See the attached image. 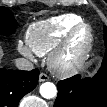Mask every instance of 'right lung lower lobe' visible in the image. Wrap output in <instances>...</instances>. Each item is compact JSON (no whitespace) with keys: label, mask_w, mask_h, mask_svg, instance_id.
I'll list each match as a JSON object with an SVG mask.
<instances>
[{"label":"right lung lower lobe","mask_w":107,"mask_h":107,"mask_svg":"<svg viewBox=\"0 0 107 107\" xmlns=\"http://www.w3.org/2000/svg\"><path fill=\"white\" fill-rule=\"evenodd\" d=\"M38 78V69H0V107H17L21 98L36 87Z\"/></svg>","instance_id":"right-lung-lower-lobe-1"}]
</instances>
